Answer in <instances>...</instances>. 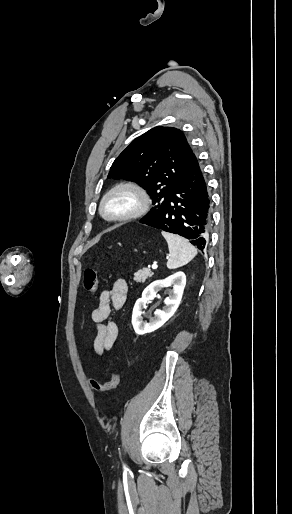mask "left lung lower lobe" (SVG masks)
Returning a JSON list of instances; mask_svg holds the SVG:
<instances>
[{
  "label": "left lung lower lobe",
  "mask_w": 292,
  "mask_h": 514,
  "mask_svg": "<svg viewBox=\"0 0 292 514\" xmlns=\"http://www.w3.org/2000/svg\"><path fill=\"white\" fill-rule=\"evenodd\" d=\"M210 197L199 161L193 153L185 176L159 207L152 220L140 223L178 234L203 250L208 242L211 220Z\"/></svg>",
  "instance_id": "0a47b994"
}]
</instances>
